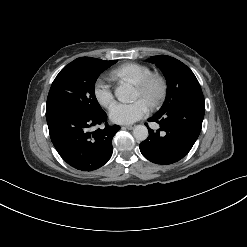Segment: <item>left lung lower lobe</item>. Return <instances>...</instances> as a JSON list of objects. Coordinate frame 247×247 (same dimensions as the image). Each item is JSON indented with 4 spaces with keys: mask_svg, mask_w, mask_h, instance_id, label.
I'll return each mask as SVG.
<instances>
[{
    "mask_svg": "<svg viewBox=\"0 0 247 247\" xmlns=\"http://www.w3.org/2000/svg\"><path fill=\"white\" fill-rule=\"evenodd\" d=\"M204 113L205 107L190 105L149 118L148 121L158 123L160 129L148 128V138L139 145L143 156L162 165L182 159L200 134Z\"/></svg>",
    "mask_w": 247,
    "mask_h": 247,
    "instance_id": "left-lung-lower-lobe-1",
    "label": "left lung lower lobe"
}]
</instances>
